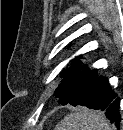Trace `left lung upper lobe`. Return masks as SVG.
I'll use <instances>...</instances> for the list:
<instances>
[{"mask_svg": "<svg viewBox=\"0 0 123 130\" xmlns=\"http://www.w3.org/2000/svg\"><path fill=\"white\" fill-rule=\"evenodd\" d=\"M82 55L78 56L80 58ZM72 68L66 69L68 71V78L64 79L60 86L55 91V96L59 98V103L63 105L71 104L75 106L81 97L85 84L92 72L89 69H84L81 62L76 63L72 60Z\"/></svg>", "mask_w": 123, "mask_h": 130, "instance_id": "left-lung-upper-lobe-1", "label": "left lung upper lobe"}]
</instances>
